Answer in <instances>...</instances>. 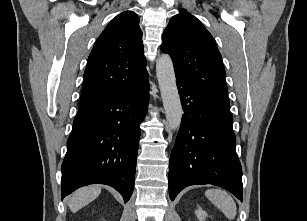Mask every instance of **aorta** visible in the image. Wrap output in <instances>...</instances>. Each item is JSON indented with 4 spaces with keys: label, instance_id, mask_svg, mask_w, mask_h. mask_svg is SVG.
I'll list each match as a JSON object with an SVG mask.
<instances>
[{
    "label": "aorta",
    "instance_id": "aorta-1",
    "mask_svg": "<svg viewBox=\"0 0 307 221\" xmlns=\"http://www.w3.org/2000/svg\"><path fill=\"white\" fill-rule=\"evenodd\" d=\"M156 73L168 128L175 131L180 127L183 111L176 85L174 66L169 55L164 54L157 59Z\"/></svg>",
    "mask_w": 307,
    "mask_h": 221
}]
</instances>
